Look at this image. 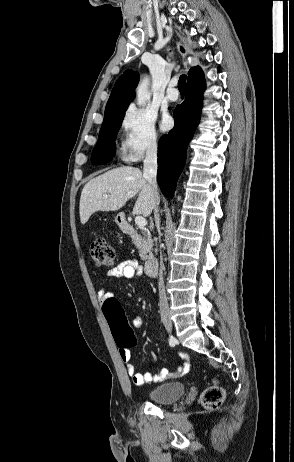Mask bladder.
<instances>
[{
  "label": "bladder",
  "mask_w": 294,
  "mask_h": 462,
  "mask_svg": "<svg viewBox=\"0 0 294 462\" xmlns=\"http://www.w3.org/2000/svg\"><path fill=\"white\" fill-rule=\"evenodd\" d=\"M186 386L181 382H170L156 386L148 393L149 401L158 404H169L183 396Z\"/></svg>",
  "instance_id": "31cf9c89"
}]
</instances>
